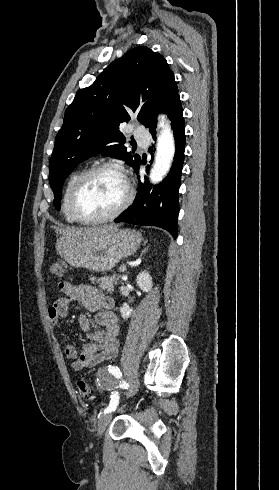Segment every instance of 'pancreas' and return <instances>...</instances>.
Masks as SVG:
<instances>
[{
    "label": "pancreas",
    "mask_w": 279,
    "mask_h": 490,
    "mask_svg": "<svg viewBox=\"0 0 279 490\" xmlns=\"http://www.w3.org/2000/svg\"><path fill=\"white\" fill-rule=\"evenodd\" d=\"M119 278V274H113V276H102V278H93L91 282L92 284H95V282L96 284H99V288H102V290L113 292L114 286Z\"/></svg>",
    "instance_id": "1"
}]
</instances>
